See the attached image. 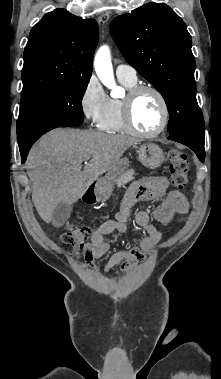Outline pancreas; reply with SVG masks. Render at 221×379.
<instances>
[{
  "mask_svg": "<svg viewBox=\"0 0 221 379\" xmlns=\"http://www.w3.org/2000/svg\"><path fill=\"white\" fill-rule=\"evenodd\" d=\"M134 170L130 169L122 174L115 182L118 187L124 186L126 183L134 179Z\"/></svg>",
  "mask_w": 221,
  "mask_h": 379,
  "instance_id": "1",
  "label": "pancreas"
}]
</instances>
